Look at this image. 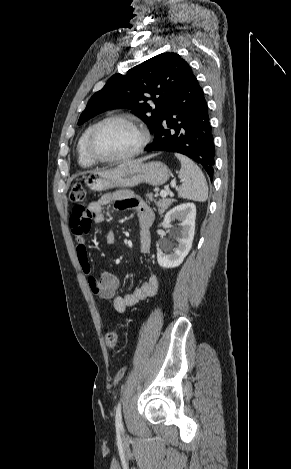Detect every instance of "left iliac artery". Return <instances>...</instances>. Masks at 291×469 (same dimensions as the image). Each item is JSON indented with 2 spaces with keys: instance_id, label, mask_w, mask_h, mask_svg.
Masks as SVG:
<instances>
[{
  "instance_id": "obj_1",
  "label": "left iliac artery",
  "mask_w": 291,
  "mask_h": 469,
  "mask_svg": "<svg viewBox=\"0 0 291 469\" xmlns=\"http://www.w3.org/2000/svg\"><path fill=\"white\" fill-rule=\"evenodd\" d=\"M115 423L116 426L122 428V415H121V403L119 402L116 408V415H115Z\"/></svg>"
}]
</instances>
